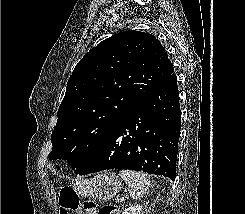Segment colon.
<instances>
[{"label": "colon", "instance_id": "colon-1", "mask_svg": "<svg viewBox=\"0 0 245 214\" xmlns=\"http://www.w3.org/2000/svg\"><path fill=\"white\" fill-rule=\"evenodd\" d=\"M60 214H119L117 208L111 204L102 205L98 210L91 202L81 205L79 196L70 187H63L59 196Z\"/></svg>", "mask_w": 245, "mask_h": 214}]
</instances>
